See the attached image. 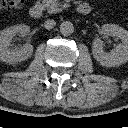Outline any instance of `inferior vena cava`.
Wrapping results in <instances>:
<instances>
[{"label": "inferior vena cava", "mask_w": 128, "mask_h": 128, "mask_svg": "<svg viewBox=\"0 0 128 128\" xmlns=\"http://www.w3.org/2000/svg\"><path fill=\"white\" fill-rule=\"evenodd\" d=\"M56 25V22L53 19H48L45 21L44 26L46 29L50 30Z\"/></svg>", "instance_id": "obj_1"}]
</instances>
